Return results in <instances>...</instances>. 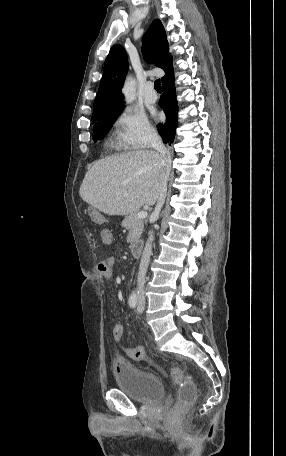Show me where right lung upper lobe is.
Segmentation results:
<instances>
[{"label": "right lung upper lobe", "mask_w": 286, "mask_h": 456, "mask_svg": "<svg viewBox=\"0 0 286 456\" xmlns=\"http://www.w3.org/2000/svg\"><path fill=\"white\" fill-rule=\"evenodd\" d=\"M143 53L147 60L165 71L162 84L174 76L172 56L169 53L168 41L164 27L159 19H155L143 37ZM128 70V59L125 49L114 45L106 58L103 76L96 95L92 121L103 114L123 108L121 86Z\"/></svg>", "instance_id": "right-lung-upper-lobe-1"}]
</instances>
